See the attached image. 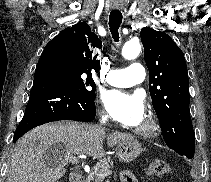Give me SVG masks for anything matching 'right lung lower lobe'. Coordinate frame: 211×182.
I'll list each match as a JSON object with an SVG mask.
<instances>
[{
    "mask_svg": "<svg viewBox=\"0 0 211 182\" xmlns=\"http://www.w3.org/2000/svg\"><path fill=\"white\" fill-rule=\"evenodd\" d=\"M94 101L95 99L80 93L64 67L51 54L42 52L25 114L15 131L13 142L30 129L44 123L94 120Z\"/></svg>",
    "mask_w": 211,
    "mask_h": 182,
    "instance_id": "obj_1",
    "label": "right lung lower lobe"
}]
</instances>
